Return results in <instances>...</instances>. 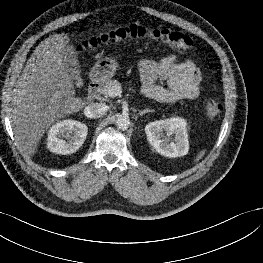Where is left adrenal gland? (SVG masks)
<instances>
[{
  "mask_svg": "<svg viewBox=\"0 0 263 263\" xmlns=\"http://www.w3.org/2000/svg\"><path fill=\"white\" fill-rule=\"evenodd\" d=\"M147 112H153V110H150V109L142 110V111L139 112V115H143V114H145Z\"/></svg>",
  "mask_w": 263,
  "mask_h": 263,
  "instance_id": "1",
  "label": "left adrenal gland"
}]
</instances>
